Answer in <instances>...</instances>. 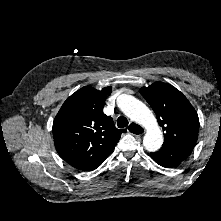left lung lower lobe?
Instances as JSON below:
<instances>
[{"instance_id":"0a47b994","label":"left lung lower lobe","mask_w":221,"mask_h":221,"mask_svg":"<svg viewBox=\"0 0 221 221\" xmlns=\"http://www.w3.org/2000/svg\"><path fill=\"white\" fill-rule=\"evenodd\" d=\"M195 143L183 144L174 147H162L155 153H150L151 158L162 167L172 168L186 160L191 154Z\"/></svg>"}]
</instances>
